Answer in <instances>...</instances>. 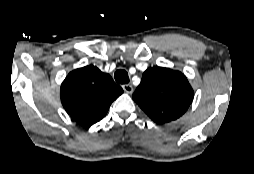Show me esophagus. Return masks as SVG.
<instances>
[{"label": "esophagus", "instance_id": "34e87169", "mask_svg": "<svg viewBox=\"0 0 254 174\" xmlns=\"http://www.w3.org/2000/svg\"><path fill=\"white\" fill-rule=\"evenodd\" d=\"M122 88L128 94H131L133 92V87L130 84H124L122 85Z\"/></svg>", "mask_w": 254, "mask_h": 174}]
</instances>
